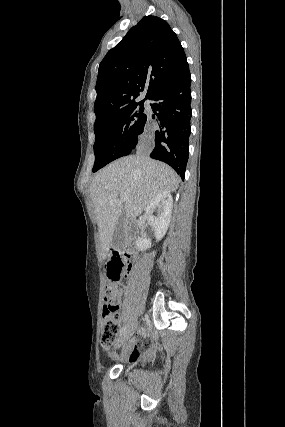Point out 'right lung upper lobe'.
<instances>
[{"mask_svg":"<svg viewBox=\"0 0 285 427\" xmlns=\"http://www.w3.org/2000/svg\"><path fill=\"white\" fill-rule=\"evenodd\" d=\"M188 71L183 47L169 24L156 16L143 17L99 65L94 126L137 104L144 89L145 99H150Z\"/></svg>","mask_w":285,"mask_h":427,"instance_id":"cb5924a9","label":"right lung upper lobe"}]
</instances>
